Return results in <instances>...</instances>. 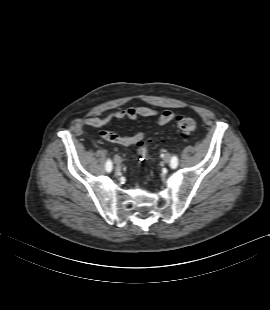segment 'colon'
<instances>
[{
	"mask_svg": "<svg viewBox=\"0 0 270 310\" xmlns=\"http://www.w3.org/2000/svg\"><path fill=\"white\" fill-rule=\"evenodd\" d=\"M176 125L185 134H191L197 128L196 121L185 116H178L176 118ZM150 143L151 141H140L137 143V153L141 160L148 159V148Z\"/></svg>",
	"mask_w": 270,
	"mask_h": 310,
	"instance_id": "colon-1",
	"label": "colon"
}]
</instances>
